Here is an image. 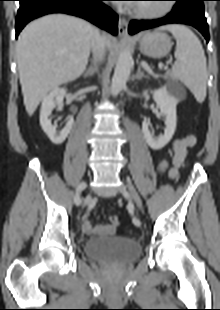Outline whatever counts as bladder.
<instances>
[{"label": "bladder", "mask_w": 220, "mask_h": 310, "mask_svg": "<svg viewBox=\"0 0 220 310\" xmlns=\"http://www.w3.org/2000/svg\"><path fill=\"white\" fill-rule=\"evenodd\" d=\"M83 248L88 257L107 264L131 263L142 251L139 242L121 236L88 239Z\"/></svg>", "instance_id": "31cf9c89"}]
</instances>
